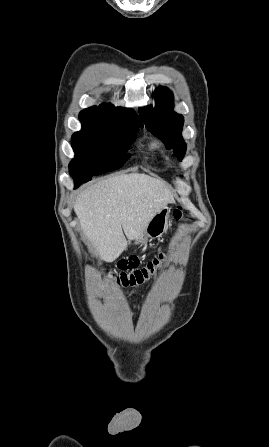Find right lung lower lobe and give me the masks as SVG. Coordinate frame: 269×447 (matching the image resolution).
Instances as JSON below:
<instances>
[{
  "label": "right lung lower lobe",
  "instance_id": "98d812e1",
  "mask_svg": "<svg viewBox=\"0 0 269 447\" xmlns=\"http://www.w3.org/2000/svg\"><path fill=\"white\" fill-rule=\"evenodd\" d=\"M73 179H74L75 188H77L81 183L85 182L83 179H76V178H73ZM89 179L91 180V177Z\"/></svg>",
  "mask_w": 269,
  "mask_h": 447
}]
</instances>
